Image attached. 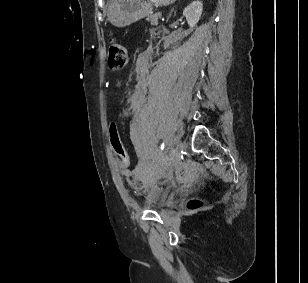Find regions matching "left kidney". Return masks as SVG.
I'll use <instances>...</instances> for the list:
<instances>
[{"label": "left kidney", "mask_w": 308, "mask_h": 283, "mask_svg": "<svg viewBox=\"0 0 308 283\" xmlns=\"http://www.w3.org/2000/svg\"><path fill=\"white\" fill-rule=\"evenodd\" d=\"M202 2L199 0L193 1L183 10V16L190 27H195L202 15Z\"/></svg>", "instance_id": "left-kidney-1"}]
</instances>
